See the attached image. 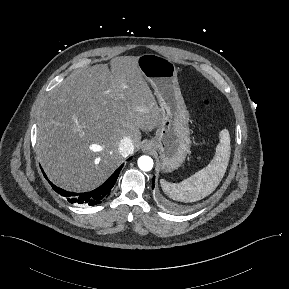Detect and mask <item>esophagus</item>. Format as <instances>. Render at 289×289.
Returning <instances> with one entry per match:
<instances>
[{
  "label": "esophagus",
  "instance_id": "34e87169",
  "mask_svg": "<svg viewBox=\"0 0 289 289\" xmlns=\"http://www.w3.org/2000/svg\"><path fill=\"white\" fill-rule=\"evenodd\" d=\"M151 149V144L150 143H145L143 146V151H149Z\"/></svg>",
  "mask_w": 289,
  "mask_h": 289
}]
</instances>
